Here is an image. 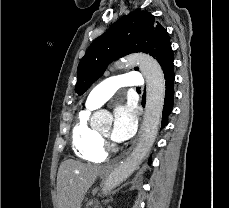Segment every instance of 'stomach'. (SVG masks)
<instances>
[{
    "label": "stomach",
    "instance_id": "stomach-1",
    "mask_svg": "<svg viewBox=\"0 0 229 208\" xmlns=\"http://www.w3.org/2000/svg\"><path fill=\"white\" fill-rule=\"evenodd\" d=\"M108 174H101V178H107Z\"/></svg>",
    "mask_w": 229,
    "mask_h": 208
}]
</instances>
